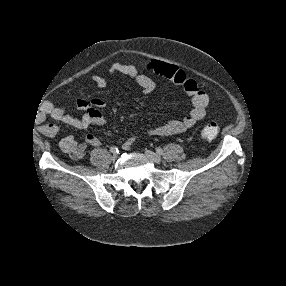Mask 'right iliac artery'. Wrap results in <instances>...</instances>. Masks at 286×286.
<instances>
[{
	"instance_id": "1",
	"label": "right iliac artery",
	"mask_w": 286,
	"mask_h": 286,
	"mask_svg": "<svg viewBox=\"0 0 286 286\" xmlns=\"http://www.w3.org/2000/svg\"><path fill=\"white\" fill-rule=\"evenodd\" d=\"M110 151H111L112 153H117V152H118V148H116V147H111V148H110Z\"/></svg>"
}]
</instances>
